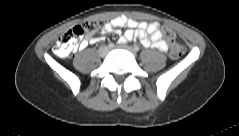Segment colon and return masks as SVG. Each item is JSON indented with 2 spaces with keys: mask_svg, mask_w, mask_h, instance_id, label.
<instances>
[{
  "mask_svg": "<svg viewBox=\"0 0 239 136\" xmlns=\"http://www.w3.org/2000/svg\"><path fill=\"white\" fill-rule=\"evenodd\" d=\"M102 23L98 20H87L62 34L54 47L55 53L60 57H66L74 53L84 36L93 37L101 31ZM164 35L170 41L169 56L178 59L185 51L183 44L176 42V34L169 28L163 30Z\"/></svg>",
  "mask_w": 239,
  "mask_h": 136,
  "instance_id": "colon-1",
  "label": "colon"
}]
</instances>
